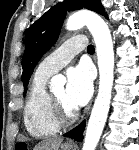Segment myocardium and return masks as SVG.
I'll return each instance as SVG.
<instances>
[{"label":"myocardium","instance_id":"f54148a6","mask_svg":"<svg viewBox=\"0 0 139 150\" xmlns=\"http://www.w3.org/2000/svg\"><path fill=\"white\" fill-rule=\"evenodd\" d=\"M47 99L50 116L59 127L68 126L77 119V112H66L51 93H48Z\"/></svg>","mask_w":139,"mask_h":150}]
</instances>
